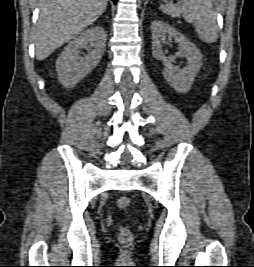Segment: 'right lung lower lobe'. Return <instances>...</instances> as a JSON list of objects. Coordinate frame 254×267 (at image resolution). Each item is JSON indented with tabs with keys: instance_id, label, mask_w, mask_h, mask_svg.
<instances>
[{
	"instance_id": "98d812e1",
	"label": "right lung lower lobe",
	"mask_w": 254,
	"mask_h": 267,
	"mask_svg": "<svg viewBox=\"0 0 254 267\" xmlns=\"http://www.w3.org/2000/svg\"><path fill=\"white\" fill-rule=\"evenodd\" d=\"M115 4H116V2H117V0H112Z\"/></svg>"
}]
</instances>
